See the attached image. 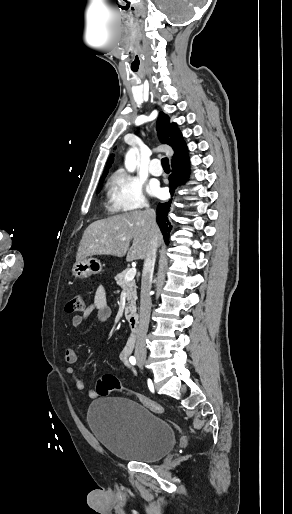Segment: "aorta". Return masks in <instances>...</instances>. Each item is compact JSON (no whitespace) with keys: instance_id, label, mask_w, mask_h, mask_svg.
<instances>
[{"instance_id":"762f6f07","label":"aorta","mask_w":292,"mask_h":514,"mask_svg":"<svg viewBox=\"0 0 292 514\" xmlns=\"http://www.w3.org/2000/svg\"><path fill=\"white\" fill-rule=\"evenodd\" d=\"M125 166L128 172H134L135 170V150H130L127 154Z\"/></svg>"}]
</instances>
